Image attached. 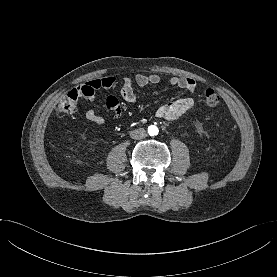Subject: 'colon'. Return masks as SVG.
I'll return each mask as SVG.
<instances>
[{"instance_id":"colon-1","label":"colon","mask_w":277,"mask_h":277,"mask_svg":"<svg viewBox=\"0 0 277 277\" xmlns=\"http://www.w3.org/2000/svg\"><path fill=\"white\" fill-rule=\"evenodd\" d=\"M81 97V91L74 89L64 96L57 105L56 111L62 115H73L77 112L78 99ZM205 102L209 106L219 104L220 98L216 91L207 89L204 93Z\"/></svg>"}]
</instances>
